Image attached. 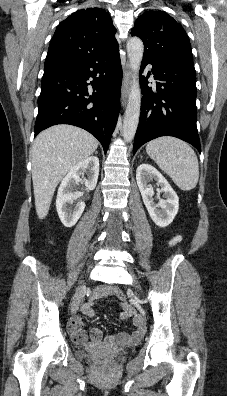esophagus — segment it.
Returning <instances> with one entry per match:
<instances>
[{
    "label": "esophagus",
    "mask_w": 227,
    "mask_h": 396,
    "mask_svg": "<svg viewBox=\"0 0 227 396\" xmlns=\"http://www.w3.org/2000/svg\"><path fill=\"white\" fill-rule=\"evenodd\" d=\"M131 80H132V69L130 67V64L127 62L126 66H125L124 78H123L122 88H121L122 107H125V105H126L127 98H128L129 91H130Z\"/></svg>",
    "instance_id": "esophagus-1"
}]
</instances>
